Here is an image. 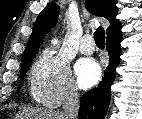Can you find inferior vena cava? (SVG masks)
<instances>
[{
	"mask_svg": "<svg viewBox=\"0 0 142 119\" xmlns=\"http://www.w3.org/2000/svg\"><path fill=\"white\" fill-rule=\"evenodd\" d=\"M62 108V116L64 119H77L79 111V94L74 85L68 87Z\"/></svg>",
	"mask_w": 142,
	"mask_h": 119,
	"instance_id": "1",
	"label": "inferior vena cava"
}]
</instances>
